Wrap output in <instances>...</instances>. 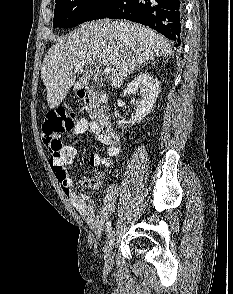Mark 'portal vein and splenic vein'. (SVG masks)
Segmentation results:
<instances>
[{"label":"portal vein and splenic vein","mask_w":233,"mask_h":294,"mask_svg":"<svg viewBox=\"0 0 233 294\" xmlns=\"http://www.w3.org/2000/svg\"><path fill=\"white\" fill-rule=\"evenodd\" d=\"M83 67H84V63H79V64L76 65L75 70H76V71L82 70ZM111 71H112V68H111V67H106V68L102 71V74L108 75V74L111 73Z\"/></svg>","instance_id":"portal-vein-and-splenic-vein-1"}]
</instances>
